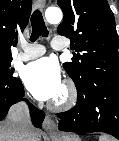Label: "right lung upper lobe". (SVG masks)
Returning a JSON list of instances; mask_svg holds the SVG:
<instances>
[{
	"mask_svg": "<svg viewBox=\"0 0 119 141\" xmlns=\"http://www.w3.org/2000/svg\"><path fill=\"white\" fill-rule=\"evenodd\" d=\"M31 7V0H0V58L12 57L11 45L26 27Z\"/></svg>",
	"mask_w": 119,
	"mask_h": 141,
	"instance_id": "1",
	"label": "right lung upper lobe"
}]
</instances>
